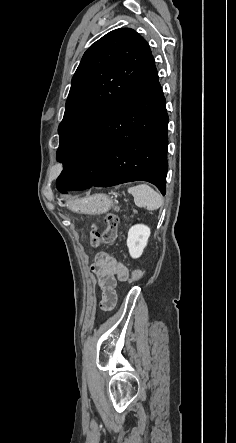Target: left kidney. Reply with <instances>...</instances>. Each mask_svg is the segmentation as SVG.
I'll return each mask as SVG.
<instances>
[{"label":"left kidney","instance_id":"left-kidney-1","mask_svg":"<svg viewBox=\"0 0 236 443\" xmlns=\"http://www.w3.org/2000/svg\"><path fill=\"white\" fill-rule=\"evenodd\" d=\"M150 237V228L143 224L132 226L128 231L127 247L132 258H139Z\"/></svg>","mask_w":236,"mask_h":443}]
</instances>
